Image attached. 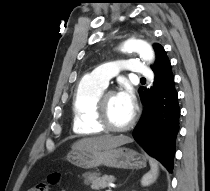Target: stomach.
<instances>
[{"instance_id": "1", "label": "stomach", "mask_w": 210, "mask_h": 191, "mask_svg": "<svg viewBox=\"0 0 210 191\" xmlns=\"http://www.w3.org/2000/svg\"><path fill=\"white\" fill-rule=\"evenodd\" d=\"M67 159L84 169L106 166L119 169H141L146 166V159L138 152L128 148L106 150H72Z\"/></svg>"}]
</instances>
